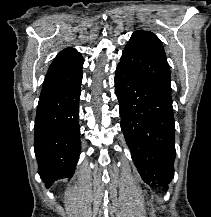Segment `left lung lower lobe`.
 <instances>
[{"label": "left lung lower lobe", "instance_id": "left-lung-lower-lobe-1", "mask_svg": "<svg viewBox=\"0 0 211 217\" xmlns=\"http://www.w3.org/2000/svg\"><path fill=\"white\" fill-rule=\"evenodd\" d=\"M115 89L121 128L138 172L149 186L167 190L176 156L172 101L120 64Z\"/></svg>", "mask_w": 211, "mask_h": 217}]
</instances>
